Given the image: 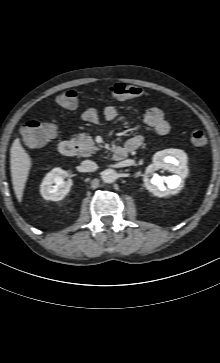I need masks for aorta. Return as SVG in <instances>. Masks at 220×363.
<instances>
[{
  "instance_id": "1",
  "label": "aorta",
  "mask_w": 220,
  "mask_h": 363,
  "mask_svg": "<svg viewBox=\"0 0 220 363\" xmlns=\"http://www.w3.org/2000/svg\"><path fill=\"white\" fill-rule=\"evenodd\" d=\"M101 178L104 183L111 184L117 179V172L114 169H106L102 172Z\"/></svg>"
}]
</instances>
